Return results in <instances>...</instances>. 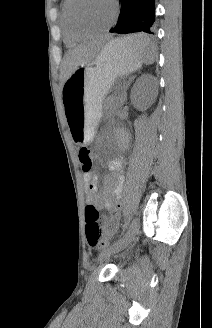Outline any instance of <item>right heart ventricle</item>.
I'll list each match as a JSON object with an SVG mask.
<instances>
[{"label":"right heart ventricle","mask_w":212,"mask_h":328,"mask_svg":"<svg viewBox=\"0 0 212 328\" xmlns=\"http://www.w3.org/2000/svg\"><path fill=\"white\" fill-rule=\"evenodd\" d=\"M68 0H63L62 9H61V27L64 36V40L68 45H73L78 43L85 38L89 37L90 34L86 33H75L69 26L67 16H66V9L68 5Z\"/></svg>","instance_id":"e07e8e85"}]
</instances>
